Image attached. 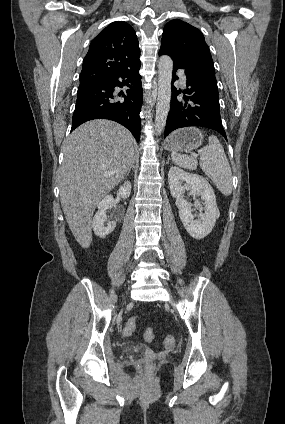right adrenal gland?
<instances>
[{
    "label": "right adrenal gland",
    "instance_id": "2a0ac1e0",
    "mask_svg": "<svg viewBox=\"0 0 285 424\" xmlns=\"http://www.w3.org/2000/svg\"><path fill=\"white\" fill-rule=\"evenodd\" d=\"M135 158L133 159V161H132V163H131V165H130V167L128 168V170H127V172H126V176H128L129 175V173H130V171H131V169H134L135 168Z\"/></svg>",
    "mask_w": 285,
    "mask_h": 424
}]
</instances>
